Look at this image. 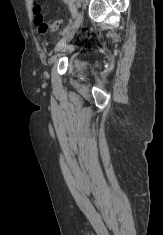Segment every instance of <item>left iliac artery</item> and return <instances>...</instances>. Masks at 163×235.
Masks as SVG:
<instances>
[{"label": "left iliac artery", "mask_w": 163, "mask_h": 235, "mask_svg": "<svg viewBox=\"0 0 163 235\" xmlns=\"http://www.w3.org/2000/svg\"><path fill=\"white\" fill-rule=\"evenodd\" d=\"M70 11H71L72 18H75L76 14H77V9L74 4L70 5ZM67 28L64 29L63 33L66 32Z\"/></svg>", "instance_id": "44dca946"}]
</instances>
